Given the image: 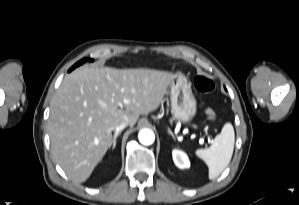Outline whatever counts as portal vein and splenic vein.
Segmentation results:
<instances>
[{"label":"portal vein and splenic vein","instance_id":"portal-vein-and-splenic-vein-1","mask_svg":"<svg viewBox=\"0 0 299 205\" xmlns=\"http://www.w3.org/2000/svg\"><path fill=\"white\" fill-rule=\"evenodd\" d=\"M199 142H200L201 144H203V143H204V139H200Z\"/></svg>","mask_w":299,"mask_h":205}]
</instances>
